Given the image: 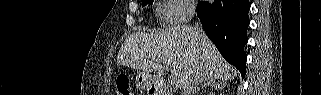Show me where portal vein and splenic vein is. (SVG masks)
I'll use <instances>...</instances> for the list:
<instances>
[{
    "mask_svg": "<svg viewBox=\"0 0 321 95\" xmlns=\"http://www.w3.org/2000/svg\"><path fill=\"white\" fill-rule=\"evenodd\" d=\"M162 63L168 70H172L173 66H172V64L170 62H168L166 60H163ZM170 82H171V85H176L177 84V80H176L175 76L171 77Z\"/></svg>",
    "mask_w": 321,
    "mask_h": 95,
    "instance_id": "obj_1",
    "label": "portal vein and splenic vein"
}]
</instances>
